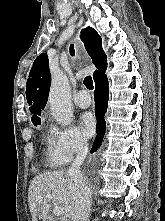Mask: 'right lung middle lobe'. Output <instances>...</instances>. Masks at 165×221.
Instances as JSON below:
<instances>
[{"instance_id":"1","label":"right lung middle lobe","mask_w":165,"mask_h":221,"mask_svg":"<svg viewBox=\"0 0 165 221\" xmlns=\"http://www.w3.org/2000/svg\"><path fill=\"white\" fill-rule=\"evenodd\" d=\"M32 122L35 126H37L40 124L41 121H40V118H36V119H33Z\"/></svg>"}]
</instances>
